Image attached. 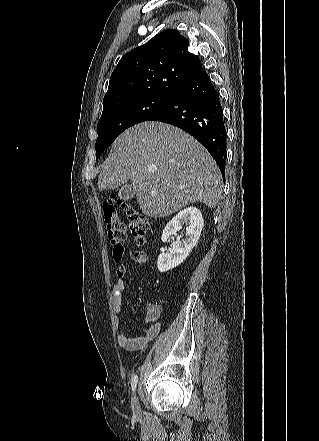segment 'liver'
<instances>
[{
    "label": "liver",
    "instance_id": "liver-1",
    "mask_svg": "<svg viewBox=\"0 0 319 441\" xmlns=\"http://www.w3.org/2000/svg\"><path fill=\"white\" fill-rule=\"evenodd\" d=\"M128 180L139 208L153 218L196 202L214 208L222 193V175L212 156L188 133L162 122L137 124L112 144L98 189H116Z\"/></svg>",
    "mask_w": 319,
    "mask_h": 441
}]
</instances>
